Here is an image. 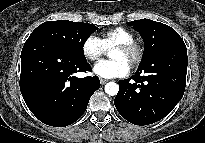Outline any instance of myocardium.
Wrapping results in <instances>:
<instances>
[{"instance_id":"1","label":"myocardium","mask_w":205,"mask_h":143,"mask_svg":"<svg viewBox=\"0 0 205 143\" xmlns=\"http://www.w3.org/2000/svg\"><path fill=\"white\" fill-rule=\"evenodd\" d=\"M114 48L130 54L131 59H130L129 66L132 68L137 67L143 59L144 49L136 41L121 43L114 46Z\"/></svg>"}]
</instances>
